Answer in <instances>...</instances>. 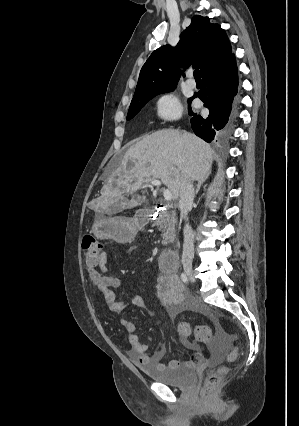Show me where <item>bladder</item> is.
<instances>
[{
	"mask_svg": "<svg viewBox=\"0 0 299 426\" xmlns=\"http://www.w3.org/2000/svg\"><path fill=\"white\" fill-rule=\"evenodd\" d=\"M141 371L149 378L166 385L187 389L197 381V373L191 369L164 368L160 369L151 364L140 363Z\"/></svg>",
	"mask_w": 299,
	"mask_h": 426,
	"instance_id": "1",
	"label": "bladder"
}]
</instances>
